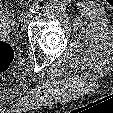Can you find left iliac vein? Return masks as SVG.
I'll return each mask as SVG.
<instances>
[{
  "mask_svg": "<svg viewBox=\"0 0 113 113\" xmlns=\"http://www.w3.org/2000/svg\"><path fill=\"white\" fill-rule=\"evenodd\" d=\"M31 17H32V12L30 10L26 11L23 14L22 19H21L23 29L25 28V26L27 25Z\"/></svg>",
  "mask_w": 113,
  "mask_h": 113,
  "instance_id": "obj_1",
  "label": "left iliac vein"
}]
</instances>
